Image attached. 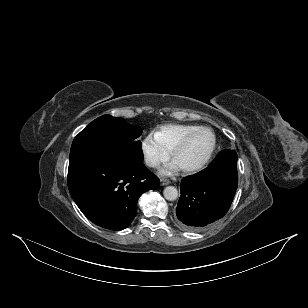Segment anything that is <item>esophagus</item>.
Returning <instances> with one entry per match:
<instances>
[{
	"mask_svg": "<svg viewBox=\"0 0 308 308\" xmlns=\"http://www.w3.org/2000/svg\"><path fill=\"white\" fill-rule=\"evenodd\" d=\"M170 183L171 182L168 179H164V178L160 179V185L161 186H165V185H168Z\"/></svg>",
	"mask_w": 308,
	"mask_h": 308,
	"instance_id": "obj_1",
	"label": "esophagus"
}]
</instances>
